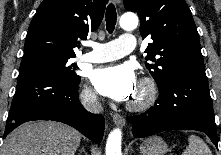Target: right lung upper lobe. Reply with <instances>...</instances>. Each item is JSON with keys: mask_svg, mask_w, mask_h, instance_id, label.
<instances>
[{"mask_svg": "<svg viewBox=\"0 0 221 155\" xmlns=\"http://www.w3.org/2000/svg\"><path fill=\"white\" fill-rule=\"evenodd\" d=\"M108 0H44L29 26L24 56L50 53L74 57L78 39L100 25Z\"/></svg>", "mask_w": 221, "mask_h": 155, "instance_id": "1", "label": "right lung upper lobe"}]
</instances>
